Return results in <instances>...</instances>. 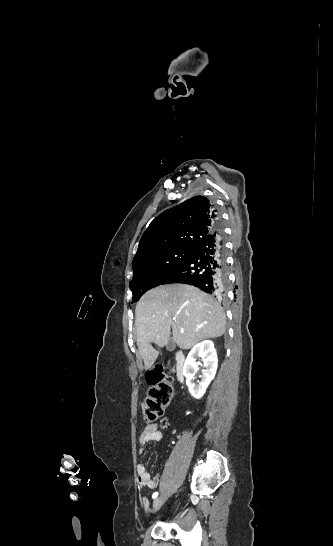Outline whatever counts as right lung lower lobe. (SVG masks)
Wrapping results in <instances>:
<instances>
[{
  "label": "right lung lower lobe",
  "instance_id": "right-lung-lower-lobe-1",
  "mask_svg": "<svg viewBox=\"0 0 333 546\" xmlns=\"http://www.w3.org/2000/svg\"><path fill=\"white\" fill-rule=\"evenodd\" d=\"M184 283L194 285L206 293L223 297L228 284V266L224 237L218 225L200 239L191 254L170 272L160 284Z\"/></svg>",
  "mask_w": 333,
  "mask_h": 546
}]
</instances>
